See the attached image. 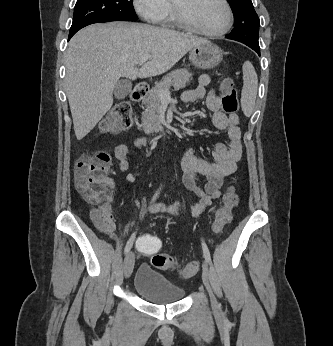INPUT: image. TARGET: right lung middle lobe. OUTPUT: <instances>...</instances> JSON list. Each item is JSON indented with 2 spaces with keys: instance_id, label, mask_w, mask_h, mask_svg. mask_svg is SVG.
Here are the masks:
<instances>
[{
  "instance_id": "right-lung-middle-lobe-1",
  "label": "right lung middle lobe",
  "mask_w": 333,
  "mask_h": 346,
  "mask_svg": "<svg viewBox=\"0 0 333 346\" xmlns=\"http://www.w3.org/2000/svg\"><path fill=\"white\" fill-rule=\"evenodd\" d=\"M133 0H77L70 33L109 21H136Z\"/></svg>"
}]
</instances>
